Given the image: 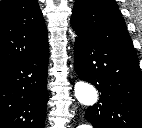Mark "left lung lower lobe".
Here are the masks:
<instances>
[{
    "label": "left lung lower lobe",
    "mask_w": 142,
    "mask_h": 128,
    "mask_svg": "<svg viewBox=\"0 0 142 128\" xmlns=\"http://www.w3.org/2000/svg\"><path fill=\"white\" fill-rule=\"evenodd\" d=\"M74 52L78 76L101 93L99 102L86 110L87 121L94 128H142L138 58L80 33Z\"/></svg>",
    "instance_id": "left-lung-lower-lobe-1"
}]
</instances>
